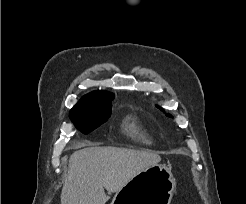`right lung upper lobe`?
<instances>
[{
	"label": "right lung upper lobe",
	"mask_w": 246,
	"mask_h": 204,
	"mask_svg": "<svg viewBox=\"0 0 246 204\" xmlns=\"http://www.w3.org/2000/svg\"><path fill=\"white\" fill-rule=\"evenodd\" d=\"M110 97H114V95L110 92L94 91V92H91L83 96L73 108L85 106L86 104H88L90 101H93V100L110 98Z\"/></svg>",
	"instance_id": "right-lung-upper-lobe-1"
}]
</instances>
